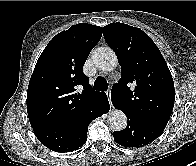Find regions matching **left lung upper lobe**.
Wrapping results in <instances>:
<instances>
[{
    "mask_svg": "<svg viewBox=\"0 0 196 166\" xmlns=\"http://www.w3.org/2000/svg\"><path fill=\"white\" fill-rule=\"evenodd\" d=\"M103 34L121 66V79L111 90L112 104L126 116L165 129L173 110L175 90L160 50L144 31L127 24H108Z\"/></svg>",
    "mask_w": 196,
    "mask_h": 166,
    "instance_id": "5c2ea615",
    "label": "left lung upper lobe"
}]
</instances>
